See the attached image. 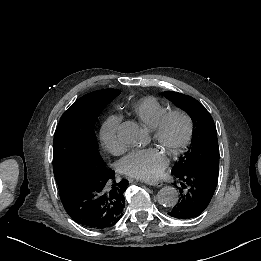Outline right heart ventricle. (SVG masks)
<instances>
[{
	"label": "right heart ventricle",
	"mask_w": 261,
	"mask_h": 261,
	"mask_svg": "<svg viewBox=\"0 0 261 261\" xmlns=\"http://www.w3.org/2000/svg\"><path fill=\"white\" fill-rule=\"evenodd\" d=\"M131 113L145 126L154 124L168 111L167 106L154 96H144L129 105Z\"/></svg>",
	"instance_id": "obj_1"
}]
</instances>
